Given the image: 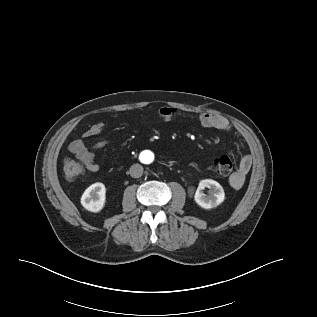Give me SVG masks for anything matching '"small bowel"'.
Here are the masks:
<instances>
[{
  "mask_svg": "<svg viewBox=\"0 0 317 317\" xmlns=\"http://www.w3.org/2000/svg\"><path fill=\"white\" fill-rule=\"evenodd\" d=\"M177 115V109L172 107H161L157 112V116L164 121H171ZM199 122L206 128L217 129L223 132L231 131L228 120L217 113H202L199 116ZM103 129L104 125L102 123H95L83 133L81 138L73 140L69 145L70 152L91 172H96L100 168L99 164L95 161L94 151L106 147L110 141L101 140L91 146H87L84 139L99 135ZM251 164L252 159L249 155L242 156L239 169L230 177V184L232 187L240 188L244 184L246 175L251 168Z\"/></svg>",
  "mask_w": 317,
  "mask_h": 317,
  "instance_id": "1",
  "label": "small bowel"
}]
</instances>
